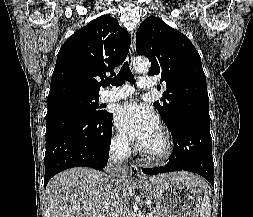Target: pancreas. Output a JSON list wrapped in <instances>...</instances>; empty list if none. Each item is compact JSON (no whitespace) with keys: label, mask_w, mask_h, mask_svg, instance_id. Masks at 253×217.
Masks as SVG:
<instances>
[{"label":"pancreas","mask_w":253,"mask_h":217,"mask_svg":"<svg viewBox=\"0 0 253 217\" xmlns=\"http://www.w3.org/2000/svg\"><path fill=\"white\" fill-rule=\"evenodd\" d=\"M151 213L153 214V217H164L163 214L159 211V209H152Z\"/></svg>","instance_id":"obj_1"}]
</instances>
